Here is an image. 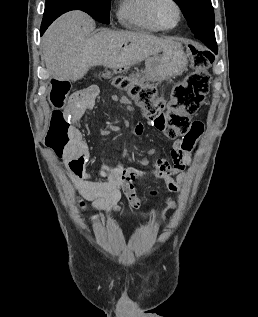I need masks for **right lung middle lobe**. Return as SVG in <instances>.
<instances>
[{"label": "right lung middle lobe", "instance_id": "dd1d6c3e", "mask_svg": "<svg viewBox=\"0 0 258 317\" xmlns=\"http://www.w3.org/2000/svg\"><path fill=\"white\" fill-rule=\"evenodd\" d=\"M111 0H88L89 6L94 10V19L99 22L109 23V11Z\"/></svg>", "mask_w": 258, "mask_h": 317}]
</instances>
